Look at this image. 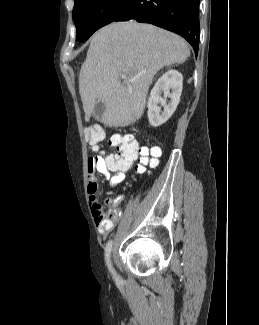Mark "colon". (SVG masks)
I'll return each instance as SVG.
<instances>
[{
	"instance_id": "5ec220e1",
	"label": "colon",
	"mask_w": 259,
	"mask_h": 325,
	"mask_svg": "<svg viewBox=\"0 0 259 325\" xmlns=\"http://www.w3.org/2000/svg\"><path fill=\"white\" fill-rule=\"evenodd\" d=\"M85 136L90 144L95 148L104 139V133L96 127H87ZM110 144L116 149V155L119 158L120 166H127L131 161L136 160L140 155V163L137 166L139 172H144L148 167H155L161 151L158 149H148L147 147H139L136 141L129 136L113 135L110 138ZM91 160V158H89Z\"/></svg>"
}]
</instances>
